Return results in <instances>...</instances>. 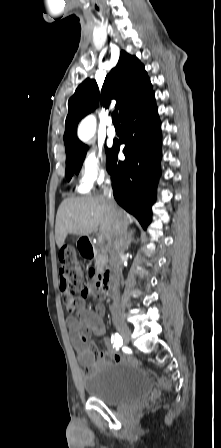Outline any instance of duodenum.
Masks as SVG:
<instances>
[{
	"label": "duodenum",
	"instance_id": "obj_1",
	"mask_svg": "<svg viewBox=\"0 0 221 448\" xmlns=\"http://www.w3.org/2000/svg\"><path fill=\"white\" fill-rule=\"evenodd\" d=\"M81 255L86 259H97L102 268V277L100 279V290L105 296H111L115 293V278L106 262H104L101 251L95 246L92 239L83 236L78 244Z\"/></svg>",
	"mask_w": 221,
	"mask_h": 448
}]
</instances>
